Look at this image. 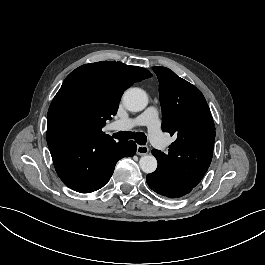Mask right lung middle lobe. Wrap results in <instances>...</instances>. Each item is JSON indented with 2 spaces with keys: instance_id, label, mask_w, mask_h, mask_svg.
<instances>
[{
  "instance_id": "dd1d6c3e",
  "label": "right lung middle lobe",
  "mask_w": 265,
  "mask_h": 265,
  "mask_svg": "<svg viewBox=\"0 0 265 265\" xmlns=\"http://www.w3.org/2000/svg\"><path fill=\"white\" fill-rule=\"evenodd\" d=\"M106 116L101 101L84 90L71 89L53 99L47 129L97 134Z\"/></svg>"
}]
</instances>
